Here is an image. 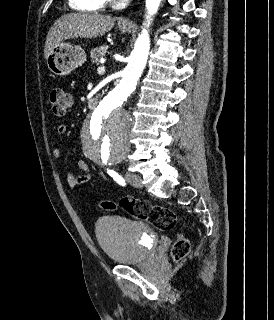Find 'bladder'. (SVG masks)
I'll use <instances>...</instances> for the list:
<instances>
[{
	"label": "bladder",
	"instance_id": "31cf9c89",
	"mask_svg": "<svg viewBox=\"0 0 274 320\" xmlns=\"http://www.w3.org/2000/svg\"><path fill=\"white\" fill-rule=\"evenodd\" d=\"M95 237L107 258L117 265H134L150 260L158 240L150 226L117 216L100 218L95 225Z\"/></svg>",
	"mask_w": 274,
	"mask_h": 320
}]
</instances>
